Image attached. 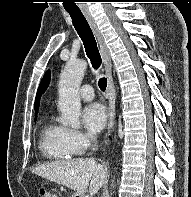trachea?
<instances>
[{
    "label": "trachea",
    "instance_id": "trachea-1",
    "mask_svg": "<svg viewBox=\"0 0 191 197\" xmlns=\"http://www.w3.org/2000/svg\"><path fill=\"white\" fill-rule=\"evenodd\" d=\"M69 14L72 18V22L77 33L83 41L86 54L90 59L93 68L98 69L101 65L102 60L95 37L86 18L81 12H69ZM98 85L102 91H105L107 86V79L104 77L100 78L98 81Z\"/></svg>",
    "mask_w": 191,
    "mask_h": 197
}]
</instances>
